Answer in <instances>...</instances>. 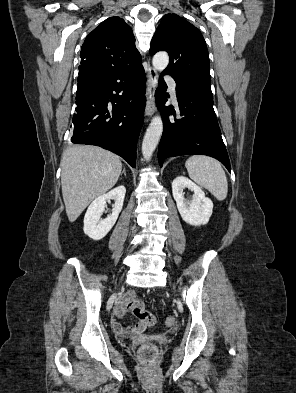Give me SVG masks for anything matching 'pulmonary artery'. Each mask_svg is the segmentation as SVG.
<instances>
[{
  "label": "pulmonary artery",
  "mask_w": 296,
  "mask_h": 393,
  "mask_svg": "<svg viewBox=\"0 0 296 393\" xmlns=\"http://www.w3.org/2000/svg\"><path fill=\"white\" fill-rule=\"evenodd\" d=\"M165 81L167 82V84L169 86V90H170V93L172 95L174 102H177L175 80L172 77H166Z\"/></svg>",
  "instance_id": "1"
}]
</instances>
